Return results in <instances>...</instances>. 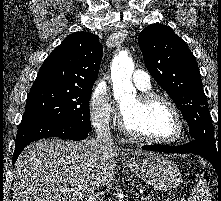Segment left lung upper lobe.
<instances>
[{
	"label": "left lung upper lobe",
	"mask_w": 221,
	"mask_h": 201,
	"mask_svg": "<svg viewBox=\"0 0 221 201\" xmlns=\"http://www.w3.org/2000/svg\"><path fill=\"white\" fill-rule=\"evenodd\" d=\"M138 43L149 73L180 107L190 138L216 147L200 71L185 41L170 27L151 24L141 31Z\"/></svg>",
	"instance_id": "left-lung-upper-lobe-1"
}]
</instances>
